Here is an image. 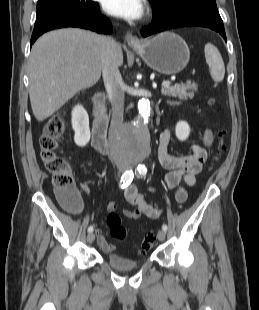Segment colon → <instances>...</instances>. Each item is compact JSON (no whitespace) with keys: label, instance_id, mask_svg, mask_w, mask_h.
<instances>
[{"label":"colon","instance_id":"1","mask_svg":"<svg viewBox=\"0 0 259 310\" xmlns=\"http://www.w3.org/2000/svg\"><path fill=\"white\" fill-rule=\"evenodd\" d=\"M65 131V123L62 118H52L44 127L40 138L41 158L47 170L53 175V183L56 195L63 206L69 210L77 211L81 206V196L75 188L74 177L70 166L65 158L57 154L58 140ZM225 132H218V151L225 150ZM218 156L214 158L216 161ZM107 226L111 236L123 241L126 239L127 231L122 224L121 217L114 211L107 216ZM156 243L154 234H148L141 242V252H148Z\"/></svg>","mask_w":259,"mask_h":310}]
</instances>
